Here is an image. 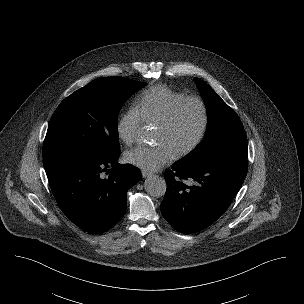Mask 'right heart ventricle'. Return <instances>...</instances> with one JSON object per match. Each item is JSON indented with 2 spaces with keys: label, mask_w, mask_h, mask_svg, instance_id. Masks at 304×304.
Returning <instances> with one entry per match:
<instances>
[{
  "label": "right heart ventricle",
  "mask_w": 304,
  "mask_h": 304,
  "mask_svg": "<svg viewBox=\"0 0 304 304\" xmlns=\"http://www.w3.org/2000/svg\"><path fill=\"white\" fill-rule=\"evenodd\" d=\"M183 97H185L183 93L164 85H157L144 90L137 98L134 107L139 111L144 122L157 125L169 108Z\"/></svg>",
  "instance_id": "right-heart-ventricle-1"
}]
</instances>
